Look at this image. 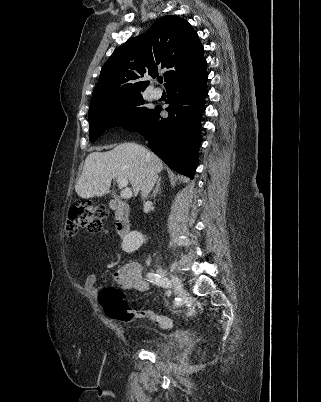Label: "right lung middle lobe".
Listing matches in <instances>:
<instances>
[{
    "label": "right lung middle lobe",
    "instance_id": "1",
    "mask_svg": "<svg viewBox=\"0 0 321 402\" xmlns=\"http://www.w3.org/2000/svg\"><path fill=\"white\" fill-rule=\"evenodd\" d=\"M141 93L125 96L89 108V138L94 142L105 130L113 127L129 128L136 125L152 110L143 107Z\"/></svg>",
    "mask_w": 321,
    "mask_h": 402
}]
</instances>
